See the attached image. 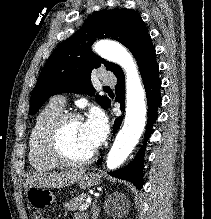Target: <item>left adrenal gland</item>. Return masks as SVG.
<instances>
[{
  "label": "left adrenal gland",
  "instance_id": "obj_1",
  "mask_svg": "<svg viewBox=\"0 0 211 219\" xmlns=\"http://www.w3.org/2000/svg\"><path fill=\"white\" fill-rule=\"evenodd\" d=\"M91 213H92V219H97V217L99 216L100 208L97 206V201L96 200L92 205Z\"/></svg>",
  "mask_w": 211,
  "mask_h": 219
}]
</instances>
